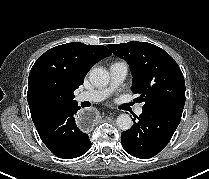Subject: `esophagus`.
Instances as JSON below:
<instances>
[{"label": "esophagus", "mask_w": 209, "mask_h": 179, "mask_svg": "<svg viewBox=\"0 0 209 179\" xmlns=\"http://www.w3.org/2000/svg\"><path fill=\"white\" fill-rule=\"evenodd\" d=\"M98 111L94 107L78 109L73 116L76 127L83 132L90 131L98 121Z\"/></svg>", "instance_id": "34e87169"}]
</instances>
